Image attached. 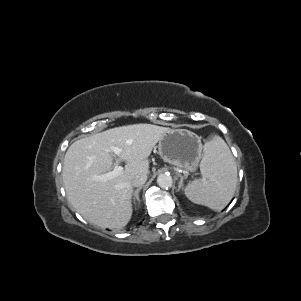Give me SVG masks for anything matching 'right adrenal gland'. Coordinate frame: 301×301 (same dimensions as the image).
Masks as SVG:
<instances>
[{
  "mask_svg": "<svg viewBox=\"0 0 301 301\" xmlns=\"http://www.w3.org/2000/svg\"><path fill=\"white\" fill-rule=\"evenodd\" d=\"M142 189V187H139V188H137L135 191H134V193H133V202H134V204L136 203V201L139 203L140 202V199H139V192H140V190Z\"/></svg>",
  "mask_w": 301,
  "mask_h": 301,
  "instance_id": "right-adrenal-gland-1",
  "label": "right adrenal gland"
}]
</instances>
